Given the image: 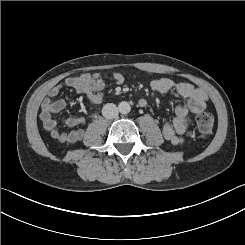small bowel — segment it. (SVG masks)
I'll list each match as a JSON object with an SVG mask.
<instances>
[{
	"instance_id": "c3829d8e",
	"label": "small bowel",
	"mask_w": 245,
	"mask_h": 245,
	"mask_svg": "<svg viewBox=\"0 0 245 245\" xmlns=\"http://www.w3.org/2000/svg\"><path fill=\"white\" fill-rule=\"evenodd\" d=\"M112 78L117 85L124 82V77L121 73H113ZM63 86L75 89L91 102L100 103L105 95V81L98 73H84L79 76L69 77L63 84L50 88L42 101L39 118L43 128L53 139L61 143H75L82 140L84 136L83 129L75 127L83 125L85 118L72 117L66 119L63 123L74 129L62 131L58 128V123L53 117V114L62 111L67 106L66 101L54 99L60 93ZM150 87L160 93L174 91L187 99L186 103L176 107L175 118L171 122H164L162 125V134L167 141L173 145L182 144L185 136L190 134L189 128L192 123V114H198L205 109L208 101L207 94L190 83L174 81L170 78L154 79L151 81ZM138 103L142 107L147 104L145 99H139Z\"/></svg>"
}]
</instances>
